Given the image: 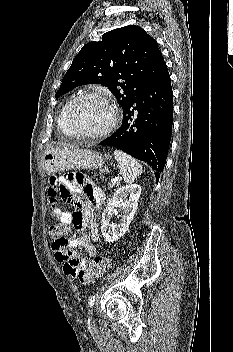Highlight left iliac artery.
<instances>
[{
    "instance_id": "1",
    "label": "left iliac artery",
    "mask_w": 233,
    "mask_h": 352,
    "mask_svg": "<svg viewBox=\"0 0 233 352\" xmlns=\"http://www.w3.org/2000/svg\"><path fill=\"white\" fill-rule=\"evenodd\" d=\"M95 299H96V296L95 295H92L90 298H89V302H88V306L90 308L93 307L94 303H95Z\"/></svg>"
}]
</instances>
